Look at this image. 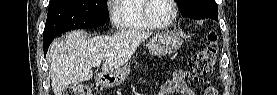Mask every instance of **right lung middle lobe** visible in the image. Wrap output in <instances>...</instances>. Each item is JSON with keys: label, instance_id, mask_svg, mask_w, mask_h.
Masks as SVG:
<instances>
[{"label": "right lung middle lobe", "instance_id": "right-lung-middle-lobe-1", "mask_svg": "<svg viewBox=\"0 0 277 95\" xmlns=\"http://www.w3.org/2000/svg\"><path fill=\"white\" fill-rule=\"evenodd\" d=\"M107 0H50L43 39L72 29H85L105 23Z\"/></svg>", "mask_w": 277, "mask_h": 95}]
</instances>
